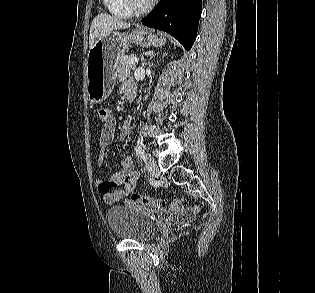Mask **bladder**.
<instances>
[{"label": "bladder", "mask_w": 315, "mask_h": 293, "mask_svg": "<svg viewBox=\"0 0 315 293\" xmlns=\"http://www.w3.org/2000/svg\"><path fill=\"white\" fill-rule=\"evenodd\" d=\"M113 235L122 240L150 241L157 233L155 224L146 213L134 206H115L106 213Z\"/></svg>", "instance_id": "bladder-1"}]
</instances>
